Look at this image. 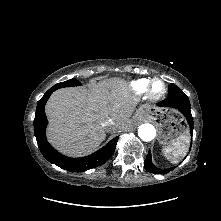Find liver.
Segmentation results:
<instances>
[{
	"mask_svg": "<svg viewBox=\"0 0 221 221\" xmlns=\"http://www.w3.org/2000/svg\"><path fill=\"white\" fill-rule=\"evenodd\" d=\"M138 102L139 98L130 93L126 82L117 78L93 83L88 89H59L45 107L49 120L47 137L53 146L69 156L90 154L108 132L102 123L110 118L117 124L113 132L129 129Z\"/></svg>",
	"mask_w": 221,
	"mask_h": 221,
	"instance_id": "1",
	"label": "liver"
}]
</instances>
